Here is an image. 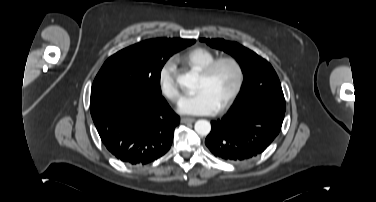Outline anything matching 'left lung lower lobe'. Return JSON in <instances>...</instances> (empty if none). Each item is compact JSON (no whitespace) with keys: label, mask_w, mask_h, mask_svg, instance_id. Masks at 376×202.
<instances>
[{"label":"left lung lower lobe","mask_w":376,"mask_h":202,"mask_svg":"<svg viewBox=\"0 0 376 202\" xmlns=\"http://www.w3.org/2000/svg\"><path fill=\"white\" fill-rule=\"evenodd\" d=\"M285 111L253 104L212 121L206 146L218 158L241 162L261 154L279 134Z\"/></svg>","instance_id":"0a47b994"}]
</instances>
